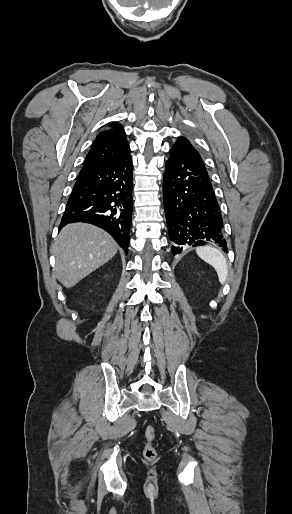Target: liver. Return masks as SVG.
I'll return each mask as SVG.
<instances>
[{
	"instance_id": "obj_1",
	"label": "liver",
	"mask_w": 292,
	"mask_h": 514,
	"mask_svg": "<svg viewBox=\"0 0 292 514\" xmlns=\"http://www.w3.org/2000/svg\"><path fill=\"white\" fill-rule=\"evenodd\" d=\"M117 250L115 240L101 228L91 224H68L52 246V254L56 258L55 278L65 288H73L88 274L109 262Z\"/></svg>"
}]
</instances>
